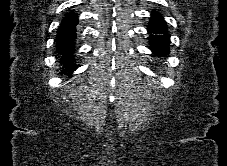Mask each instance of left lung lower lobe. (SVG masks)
<instances>
[{
	"label": "left lung lower lobe",
	"mask_w": 227,
	"mask_h": 166,
	"mask_svg": "<svg viewBox=\"0 0 227 166\" xmlns=\"http://www.w3.org/2000/svg\"><path fill=\"white\" fill-rule=\"evenodd\" d=\"M151 50L155 55L165 56L169 53L170 36L167 34L166 23L157 12L152 13L148 26Z\"/></svg>",
	"instance_id": "0a47b994"
}]
</instances>
